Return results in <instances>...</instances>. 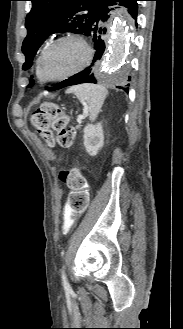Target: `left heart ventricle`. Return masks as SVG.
I'll return each mask as SVG.
<instances>
[{"label": "left heart ventricle", "instance_id": "b2bd125f", "mask_svg": "<svg viewBox=\"0 0 183 329\" xmlns=\"http://www.w3.org/2000/svg\"><path fill=\"white\" fill-rule=\"evenodd\" d=\"M87 52L77 40H64L53 46L46 55L44 72L47 77H58L80 67Z\"/></svg>", "mask_w": 183, "mask_h": 329}]
</instances>
